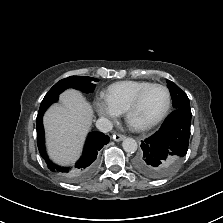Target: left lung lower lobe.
Segmentation results:
<instances>
[{
  "mask_svg": "<svg viewBox=\"0 0 223 223\" xmlns=\"http://www.w3.org/2000/svg\"><path fill=\"white\" fill-rule=\"evenodd\" d=\"M191 116L190 111L174 110L155 134L142 141L133 162L139 173L159 179L177 168L188 150Z\"/></svg>",
  "mask_w": 223,
  "mask_h": 223,
  "instance_id": "obj_1",
  "label": "left lung lower lobe"
}]
</instances>
